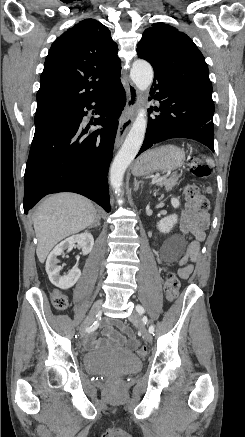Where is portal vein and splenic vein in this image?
I'll list each match as a JSON object with an SVG mask.
<instances>
[{"label": "portal vein and splenic vein", "mask_w": 245, "mask_h": 437, "mask_svg": "<svg viewBox=\"0 0 245 437\" xmlns=\"http://www.w3.org/2000/svg\"><path fill=\"white\" fill-rule=\"evenodd\" d=\"M167 176H169V174H166V175H164V176L156 177V178L152 181V184L158 183L159 181L163 180V179L166 178Z\"/></svg>", "instance_id": "1"}]
</instances>
